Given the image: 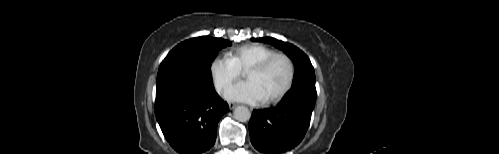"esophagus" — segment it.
<instances>
[{"label":"esophagus","instance_id":"1","mask_svg":"<svg viewBox=\"0 0 499 154\" xmlns=\"http://www.w3.org/2000/svg\"><path fill=\"white\" fill-rule=\"evenodd\" d=\"M228 105L230 110L234 109L237 106V104L233 102H230Z\"/></svg>","mask_w":499,"mask_h":154}]
</instances>
